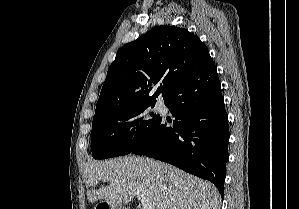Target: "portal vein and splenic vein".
<instances>
[{
    "label": "portal vein and splenic vein",
    "instance_id": "18ae733b",
    "mask_svg": "<svg viewBox=\"0 0 299 209\" xmlns=\"http://www.w3.org/2000/svg\"><path fill=\"white\" fill-rule=\"evenodd\" d=\"M137 197L142 204V209H154V205L144 195H138Z\"/></svg>",
    "mask_w": 299,
    "mask_h": 209
}]
</instances>
